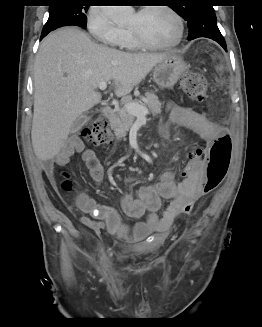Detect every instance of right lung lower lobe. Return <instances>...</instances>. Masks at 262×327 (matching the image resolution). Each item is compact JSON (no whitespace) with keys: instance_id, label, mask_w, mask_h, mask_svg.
Here are the masks:
<instances>
[{"instance_id":"right-lung-lower-lobe-1","label":"right lung lower lobe","mask_w":262,"mask_h":327,"mask_svg":"<svg viewBox=\"0 0 262 327\" xmlns=\"http://www.w3.org/2000/svg\"><path fill=\"white\" fill-rule=\"evenodd\" d=\"M49 32H51V31L42 32L41 39H43Z\"/></svg>"}]
</instances>
